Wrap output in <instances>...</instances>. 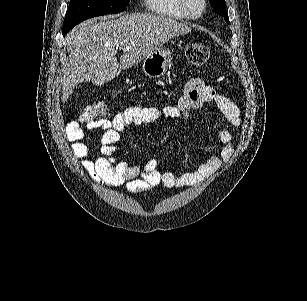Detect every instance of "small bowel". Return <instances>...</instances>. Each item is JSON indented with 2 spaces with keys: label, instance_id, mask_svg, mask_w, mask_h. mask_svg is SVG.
<instances>
[{
  "label": "small bowel",
  "instance_id": "c3829d8e",
  "mask_svg": "<svg viewBox=\"0 0 307 301\" xmlns=\"http://www.w3.org/2000/svg\"><path fill=\"white\" fill-rule=\"evenodd\" d=\"M206 103H214L224 118L234 127L239 128L241 114L238 106L226 96L204 84L199 78L190 79L183 95L174 105L162 109L155 107L130 106L117 113L111 120H99L87 125V129H102L101 156L94 157L85 143V129L77 121H72L65 128L66 138L71 142L73 154L79 158L89 177L104 186H125L135 194L149 190L158 185L167 188L194 186L207 180L222 162L232 156L235 146L229 129L219 127L216 134L221 147L210 154L197 170L175 175L165 168L150 161L142 166L116 162L113 153L117 149L120 133L131 125H143L154 122L161 117L184 118L194 109L202 108Z\"/></svg>",
  "mask_w": 307,
  "mask_h": 301
}]
</instances>
